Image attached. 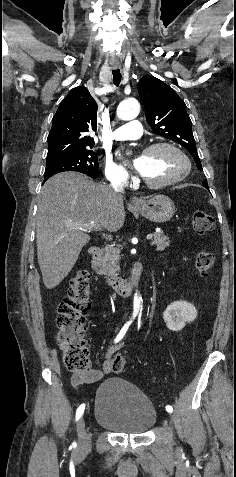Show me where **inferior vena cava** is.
Listing matches in <instances>:
<instances>
[{
	"label": "inferior vena cava",
	"mask_w": 236,
	"mask_h": 477,
	"mask_svg": "<svg viewBox=\"0 0 236 477\" xmlns=\"http://www.w3.org/2000/svg\"><path fill=\"white\" fill-rule=\"evenodd\" d=\"M111 186H112V189H113V191L115 192L116 195L122 196V194L124 192V182L123 181H121V180L113 181Z\"/></svg>",
	"instance_id": "602c4592"
}]
</instances>
